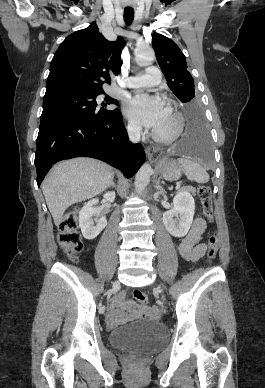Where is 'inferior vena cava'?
<instances>
[{"label":"inferior vena cava","instance_id":"obj_1","mask_svg":"<svg viewBox=\"0 0 265 388\" xmlns=\"http://www.w3.org/2000/svg\"><path fill=\"white\" fill-rule=\"evenodd\" d=\"M140 130H141L140 126H129L128 136H129L130 142H134V144H136V142H139Z\"/></svg>","mask_w":265,"mask_h":388}]
</instances>
